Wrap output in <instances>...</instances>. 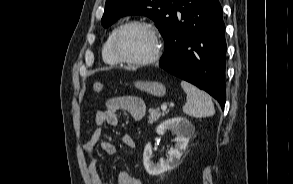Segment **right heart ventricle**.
Returning <instances> with one entry per match:
<instances>
[{
	"mask_svg": "<svg viewBox=\"0 0 293 184\" xmlns=\"http://www.w3.org/2000/svg\"><path fill=\"white\" fill-rule=\"evenodd\" d=\"M117 28L113 29L102 46V59L108 65H117L119 61L114 57L111 50V40Z\"/></svg>",
	"mask_w": 293,
	"mask_h": 184,
	"instance_id": "obj_1",
	"label": "right heart ventricle"
}]
</instances>
